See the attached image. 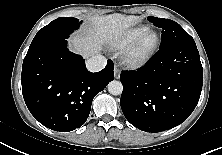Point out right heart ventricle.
Segmentation results:
<instances>
[{"label":"right heart ventricle","instance_id":"right-heart-ventricle-1","mask_svg":"<svg viewBox=\"0 0 222 155\" xmlns=\"http://www.w3.org/2000/svg\"><path fill=\"white\" fill-rule=\"evenodd\" d=\"M149 29L147 25H138L126 29L115 38L113 46L119 49L128 47Z\"/></svg>","mask_w":222,"mask_h":155}]
</instances>
